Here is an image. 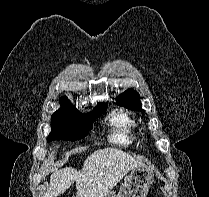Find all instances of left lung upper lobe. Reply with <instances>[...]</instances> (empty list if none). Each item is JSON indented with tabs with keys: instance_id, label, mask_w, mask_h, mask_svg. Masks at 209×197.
Masks as SVG:
<instances>
[{
	"instance_id": "obj_1",
	"label": "left lung upper lobe",
	"mask_w": 209,
	"mask_h": 197,
	"mask_svg": "<svg viewBox=\"0 0 209 197\" xmlns=\"http://www.w3.org/2000/svg\"><path fill=\"white\" fill-rule=\"evenodd\" d=\"M139 93L133 89H127L124 93L117 97V101L121 105L134 110H142Z\"/></svg>"
}]
</instances>
